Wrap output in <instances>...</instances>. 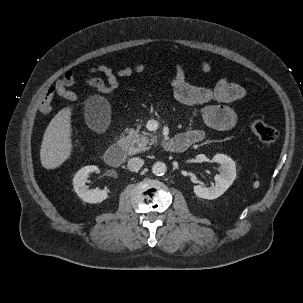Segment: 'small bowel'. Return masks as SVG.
Instances as JSON below:
<instances>
[{
    "instance_id": "c3829d8e",
    "label": "small bowel",
    "mask_w": 303,
    "mask_h": 303,
    "mask_svg": "<svg viewBox=\"0 0 303 303\" xmlns=\"http://www.w3.org/2000/svg\"><path fill=\"white\" fill-rule=\"evenodd\" d=\"M200 67L203 72L210 73L212 65L207 61H202ZM91 75L85 79V83L93 87L97 92L104 94L105 87L110 86L114 91L119 87V78L130 77L136 74L151 73L172 88L173 97L181 104L195 108L202 123L209 128L219 131H229L237 124V114L227 104L242 99L245 89L226 78L219 79L213 86H199L191 84L187 78L185 67L176 63L172 73L149 65L144 62L134 63L122 68L99 65L90 69ZM101 73L105 79L95 76ZM76 82L75 75L67 71L60 79L50 86L41 97L38 110L41 114L48 116L51 113V103L55 96L64 98L70 102H78V95L72 90ZM215 102L214 104H211ZM188 136L193 143L200 142L205 132L202 128H193L183 133Z\"/></svg>"
}]
</instances>
